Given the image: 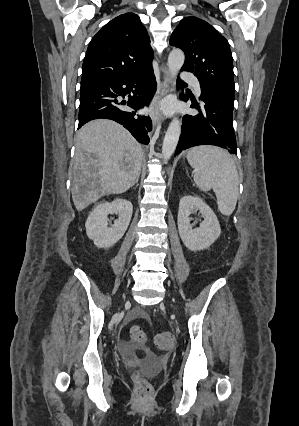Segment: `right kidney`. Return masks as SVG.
<instances>
[{"label": "right kidney", "mask_w": 299, "mask_h": 426, "mask_svg": "<svg viewBox=\"0 0 299 426\" xmlns=\"http://www.w3.org/2000/svg\"><path fill=\"white\" fill-rule=\"evenodd\" d=\"M114 212L118 214V219L109 227L108 215ZM132 212V203L122 198L97 205L85 223L88 238L93 240L98 248L112 247L127 230Z\"/></svg>", "instance_id": "ca27d5eb"}]
</instances>
